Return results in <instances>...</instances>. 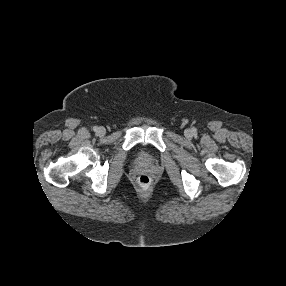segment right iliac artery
<instances>
[{
	"mask_svg": "<svg viewBox=\"0 0 286 286\" xmlns=\"http://www.w3.org/2000/svg\"><path fill=\"white\" fill-rule=\"evenodd\" d=\"M97 129H98L97 126H94V127H93V130H94V131H97Z\"/></svg>",
	"mask_w": 286,
	"mask_h": 286,
	"instance_id": "1",
	"label": "right iliac artery"
}]
</instances>
